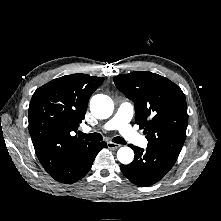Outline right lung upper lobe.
Listing matches in <instances>:
<instances>
[{
  "mask_svg": "<svg viewBox=\"0 0 221 221\" xmlns=\"http://www.w3.org/2000/svg\"><path fill=\"white\" fill-rule=\"evenodd\" d=\"M103 77L72 74L38 88L28 112L29 132L36 155L47 172L77 157L91 142L72 136L84 119L93 92Z\"/></svg>",
  "mask_w": 221,
  "mask_h": 221,
  "instance_id": "right-lung-upper-lobe-1",
  "label": "right lung upper lobe"
}]
</instances>
